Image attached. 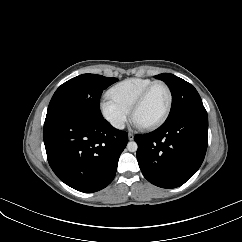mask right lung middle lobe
Instances as JSON below:
<instances>
[{"label":"right lung middle lobe","instance_id":"1","mask_svg":"<svg viewBox=\"0 0 242 242\" xmlns=\"http://www.w3.org/2000/svg\"><path fill=\"white\" fill-rule=\"evenodd\" d=\"M117 78L97 74H82L62 84L54 93L46 119L62 114H80L102 119L99 100L104 89Z\"/></svg>","mask_w":242,"mask_h":242}]
</instances>
